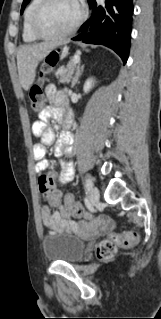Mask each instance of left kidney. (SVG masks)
Wrapping results in <instances>:
<instances>
[{
	"mask_svg": "<svg viewBox=\"0 0 161 319\" xmlns=\"http://www.w3.org/2000/svg\"><path fill=\"white\" fill-rule=\"evenodd\" d=\"M94 79L93 78H89L86 80L85 84H84V87H83V90L85 93L89 92L90 89H92V87L94 86Z\"/></svg>",
	"mask_w": 161,
	"mask_h": 319,
	"instance_id": "left-kidney-1",
	"label": "left kidney"
}]
</instances>
